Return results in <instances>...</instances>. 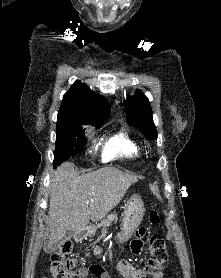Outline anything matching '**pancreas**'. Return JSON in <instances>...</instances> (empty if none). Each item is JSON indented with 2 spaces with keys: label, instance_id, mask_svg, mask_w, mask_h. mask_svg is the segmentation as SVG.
<instances>
[{
  "label": "pancreas",
  "instance_id": "cf45deb5",
  "mask_svg": "<svg viewBox=\"0 0 221 278\" xmlns=\"http://www.w3.org/2000/svg\"><path fill=\"white\" fill-rule=\"evenodd\" d=\"M115 219H117V215L115 213H112L110 215H108L102 222L103 224H101L100 222L97 224L99 227L101 225H103V227H108V225H110L112 223V221H114Z\"/></svg>",
  "mask_w": 221,
  "mask_h": 278
}]
</instances>
